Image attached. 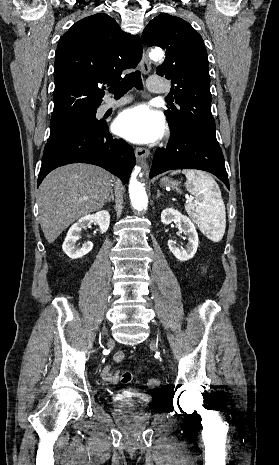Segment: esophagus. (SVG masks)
Segmentation results:
<instances>
[{"label": "esophagus", "mask_w": 279, "mask_h": 465, "mask_svg": "<svg viewBox=\"0 0 279 465\" xmlns=\"http://www.w3.org/2000/svg\"><path fill=\"white\" fill-rule=\"evenodd\" d=\"M140 67L144 74H148L151 70V66H150V63H149V60H148V57L145 51H143V56L140 62ZM149 155H150V151L147 148L137 147L135 149V156L138 162L145 160L146 158L149 157Z\"/></svg>", "instance_id": "34e87169"}]
</instances>
